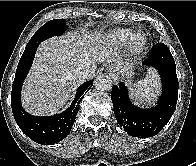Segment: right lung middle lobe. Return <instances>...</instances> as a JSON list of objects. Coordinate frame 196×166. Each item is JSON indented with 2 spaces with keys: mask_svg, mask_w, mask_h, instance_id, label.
I'll return each instance as SVG.
<instances>
[{
  "mask_svg": "<svg viewBox=\"0 0 196 166\" xmlns=\"http://www.w3.org/2000/svg\"><path fill=\"white\" fill-rule=\"evenodd\" d=\"M65 20L63 19H54L48 21L44 24L38 31L32 36L27 46H32L35 44H40V42L53 37L61 35L66 30Z\"/></svg>",
  "mask_w": 196,
  "mask_h": 166,
  "instance_id": "obj_1",
  "label": "right lung middle lobe"
}]
</instances>
